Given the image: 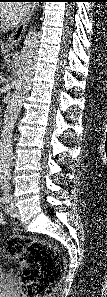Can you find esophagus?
Returning a JSON list of instances; mask_svg holds the SVG:
<instances>
[{
    "label": "esophagus",
    "mask_w": 107,
    "mask_h": 297,
    "mask_svg": "<svg viewBox=\"0 0 107 297\" xmlns=\"http://www.w3.org/2000/svg\"><path fill=\"white\" fill-rule=\"evenodd\" d=\"M35 9H36V5L32 4L31 10H30L28 16L25 18V20L16 28V30L8 38V40L6 42V47H14L20 42L22 36L24 35V33L27 29V26L30 22L31 17L34 14Z\"/></svg>",
    "instance_id": "esophagus-1"
}]
</instances>
